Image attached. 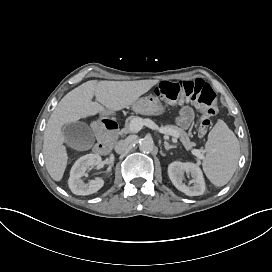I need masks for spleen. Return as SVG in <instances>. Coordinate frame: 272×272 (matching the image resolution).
I'll use <instances>...</instances> for the list:
<instances>
[{
    "label": "spleen",
    "instance_id": "obj_1",
    "mask_svg": "<svg viewBox=\"0 0 272 272\" xmlns=\"http://www.w3.org/2000/svg\"><path fill=\"white\" fill-rule=\"evenodd\" d=\"M202 170L216 187L226 185L234 175L240 158V144L235 134L219 120L204 144Z\"/></svg>",
    "mask_w": 272,
    "mask_h": 272
}]
</instances>
